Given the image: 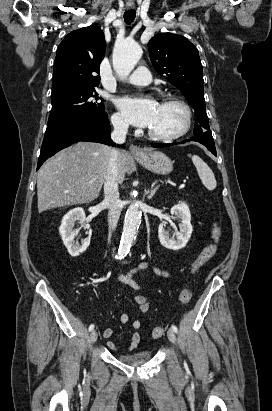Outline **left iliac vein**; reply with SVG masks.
Returning <instances> with one entry per match:
<instances>
[{"instance_id": "left-iliac-vein-1", "label": "left iliac vein", "mask_w": 272, "mask_h": 411, "mask_svg": "<svg viewBox=\"0 0 272 411\" xmlns=\"http://www.w3.org/2000/svg\"><path fill=\"white\" fill-rule=\"evenodd\" d=\"M167 336H168V339L172 342V343H176L177 342V338H176V335H175V333H174V331L172 330V329H169L168 331H167Z\"/></svg>"}]
</instances>
